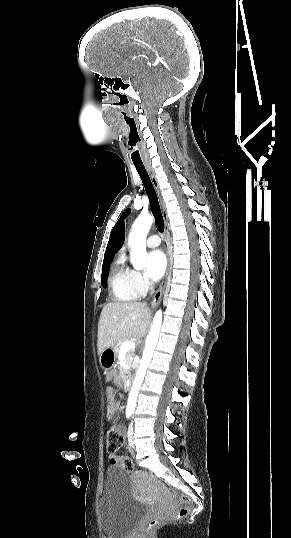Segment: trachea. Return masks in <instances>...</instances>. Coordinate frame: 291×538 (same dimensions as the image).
<instances>
[{"mask_svg":"<svg viewBox=\"0 0 291 538\" xmlns=\"http://www.w3.org/2000/svg\"><path fill=\"white\" fill-rule=\"evenodd\" d=\"M136 167V170L142 180V183L144 185L145 191L148 195L150 206L153 212V215L155 217L156 227L159 232L164 231V220L162 216V212L160 209V205L158 202V198L155 192V189L153 187V184L151 182V179L144 167L143 164H134Z\"/></svg>","mask_w":291,"mask_h":538,"instance_id":"obj_1","label":"trachea"}]
</instances>
